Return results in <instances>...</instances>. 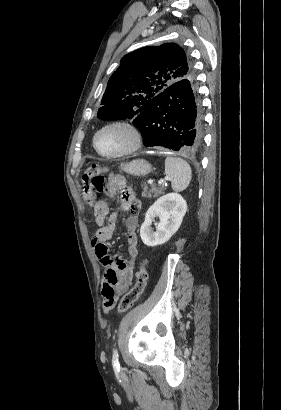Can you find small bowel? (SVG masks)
<instances>
[{
  "instance_id": "obj_1",
  "label": "small bowel",
  "mask_w": 281,
  "mask_h": 410,
  "mask_svg": "<svg viewBox=\"0 0 281 410\" xmlns=\"http://www.w3.org/2000/svg\"><path fill=\"white\" fill-rule=\"evenodd\" d=\"M117 190L122 191L121 212L132 211V214L123 220L126 226L128 259H123L120 256L112 257L108 253L107 242L116 228L118 214H110L108 203L104 199H99L94 205V216L98 229L92 238L95 256L105 270L102 286L104 301L112 296L114 303L118 295L126 292L133 282L135 260L138 256L137 227L139 218L137 211L140 207L132 189L126 187L124 177L119 174H111L108 192L113 194ZM108 310L110 309H105V311Z\"/></svg>"
}]
</instances>
